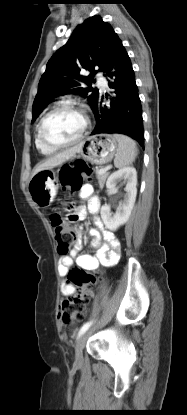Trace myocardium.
<instances>
[{
    "label": "myocardium",
    "mask_w": 187,
    "mask_h": 415,
    "mask_svg": "<svg viewBox=\"0 0 187 415\" xmlns=\"http://www.w3.org/2000/svg\"><path fill=\"white\" fill-rule=\"evenodd\" d=\"M61 108H72L77 110L78 112H80L84 118V126L83 129L81 130L80 134L73 140L71 141H67V142H63V143H54L50 140H48L45 135H44V125L46 120L48 119V117L50 115H52L54 112H56L57 110L61 109ZM91 122H90V118L87 115V113L85 112L84 109H82L81 107H79L77 104H75L72 101H62V102H58L56 103L54 106L51 107V109L49 111H47L45 113V115L41 118L39 125H38V136L41 140V142L46 145L49 148H53V149H62V148H66L72 145H75L77 143H79L87 134L89 128H90Z\"/></svg>",
    "instance_id": "1"
}]
</instances>
